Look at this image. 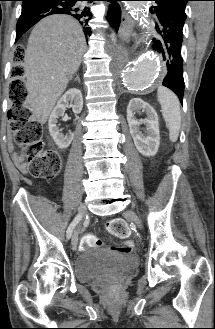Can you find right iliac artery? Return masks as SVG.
I'll use <instances>...</instances> for the list:
<instances>
[{"label":"right iliac artery","mask_w":215,"mask_h":329,"mask_svg":"<svg viewBox=\"0 0 215 329\" xmlns=\"http://www.w3.org/2000/svg\"><path fill=\"white\" fill-rule=\"evenodd\" d=\"M79 221H80V216L77 215L74 218V220L70 223V225L66 231V236L68 239L71 237L73 230H74L75 226L79 223Z\"/></svg>","instance_id":"obj_1"}]
</instances>
